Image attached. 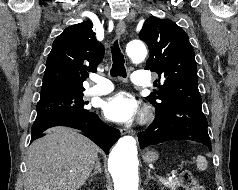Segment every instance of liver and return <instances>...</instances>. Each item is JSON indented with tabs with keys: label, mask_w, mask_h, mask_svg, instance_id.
Masks as SVG:
<instances>
[{
	"label": "liver",
	"mask_w": 238,
	"mask_h": 190,
	"mask_svg": "<svg viewBox=\"0 0 238 190\" xmlns=\"http://www.w3.org/2000/svg\"><path fill=\"white\" fill-rule=\"evenodd\" d=\"M98 151L74 129H48L28 149L24 190H78L88 179Z\"/></svg>",
	"instance_id": "6515ba94"
}]
</instances>
